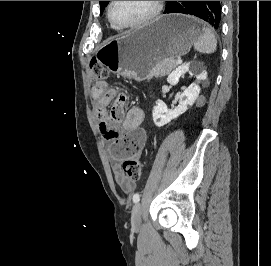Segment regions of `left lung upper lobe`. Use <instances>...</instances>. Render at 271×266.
I'll list each match as a JSON object with an SVG mask.
<instances>
[{"instance_id":"5c2ea615","label":"left lung upper lobe","mask_w":271,"mask_h":266,"mask_svg":"<svg viewBox=\"0 0 271 266\" xmlns=\"http://www.w3.org/2000/svg\"><path fill=\"white\" fill-rule=\"evenodd\" d=\"M108 2L109 1H99L100 7H101V12L100 13L103 12V10H104L105 6L108 4Z\"/></svg>"}]
</instances>
